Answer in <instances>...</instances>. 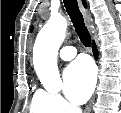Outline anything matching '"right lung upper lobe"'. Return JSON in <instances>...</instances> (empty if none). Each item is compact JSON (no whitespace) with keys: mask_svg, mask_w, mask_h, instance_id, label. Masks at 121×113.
<instances>
[{"mask_svg":"<svg viewBox=\"0 0 121 113\" xmlns=\"http://www.w3.org/2000/svg\"><path fill=\"white\" fill-rule=\"evenodd\" d=\"M83 5H84V6L86 5L84 0H83Z\"/></svg>","mask_w":121,"mask_h":113,"instance_id":"obj_1","label":"right lung upper lobe"}]
</instances>
